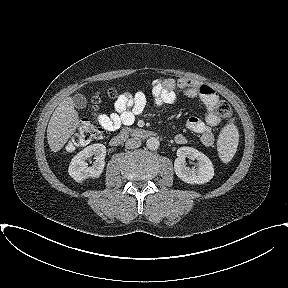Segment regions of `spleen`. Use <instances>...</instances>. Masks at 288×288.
Returning a JSON list of instances; mask_svg holds the SVG:
<instances>
[{"mask_svg": "<svg viewBox=\"0 0 288 288\" xmlns=\"http://www.w3.org/2000/svg\"><path fill=\"white\" fill-rule=\"evenodd\" d=\"M239 141L238 129L231 123L224 127L218 138L219 157L224 163L229 162L236 153Z\"/></svg>", "mask_w": 288, "mask_h": 288, "instance_id": "1", "label": "spleen"}]
</instances>
